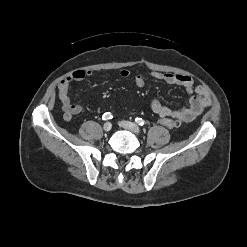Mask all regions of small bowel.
Wrapping results in <instances>:
<instances>
[{
	"label": "small bowel",
	"mask_w": 247,
	"mask_h": 247,
	"mask_svg": "<svg viewBox=\"0 0 247 247\" xmlns=\"http://www.w3.org/2000/svg\"><path fill=\"white\" fill-rule=\"evenodd\" d=\"M91 75V71L75 70L58 84V97L62 103L63 118L65 121H71L74 115L84 110L82 105L73 104L70 100L69 92L71 83L81 81ZM119 75L126 78L130 76V71L126 69L121 70ZM150 76L164 83L183 87L187 93L192 95L189 105L181 109L169 108L161 104L159 100L153 99L151 101V108L161 118L166 117L177 122L188 123L200 115L211 104L207 89L200 85L195 86L193 79L187 75L151 72ZM134 82L138 88H142L145 85V79L142 75H137Z\"/></svg>",
	"instance_id": "1"
}]
</instances>
